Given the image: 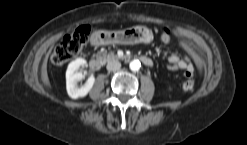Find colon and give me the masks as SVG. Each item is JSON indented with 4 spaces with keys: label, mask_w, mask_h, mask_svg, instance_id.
<instances>
[{
    "label": "colon",
    "mask_w": 247,
    "mask_h": 145,
    "mask_svg": "<svg viewBox=\"0 0 247 145\" xmlns=\"http://www.w3.org/2000/svg\"><path fill=\"white\" fill-rule=\"evenodd\" d=\"M89 34V27L81 26L64 36L56 44L51 56V62L54 65H62L76 57L86 45ZM160 38L163 42H169L171 39L170 31L167 28H163L160 33ZM194 85V75L192 73H187L185 75V81L182 84L183 90L191 91L194 88Z\"/></svg>",
    "instance_id": "5ec220e1"
}]
</instances>
